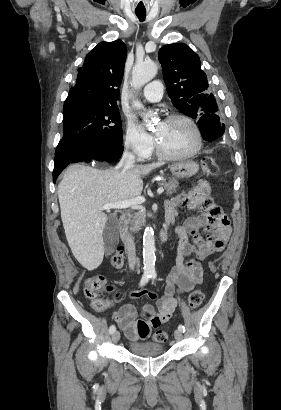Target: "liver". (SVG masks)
Instances as JSON below:
<instances>
[{"mask_svg": "<svg viewBox=\"0 0 281 410\" xmlns=\"http://www.w3.org/2000/svg\"><path fill=\"white\" fill-rule=\"evenodd\" d=\"M162 165L151 163L128 170H99L82 164L68 167L58 185L61 219L70 249L84 268L92 271L103 261L108 217L100 208L140 196L141 177Z\"/></svg>", "mask_w": 281, "mask_h": 410, "instance_id": "1", "label": "liver"}]
</instances>
